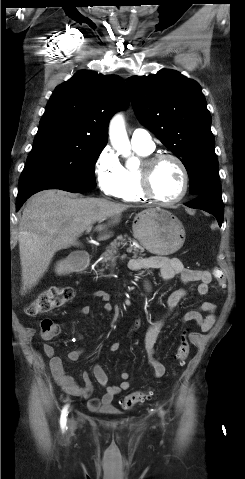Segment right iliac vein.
Masks as SVG:
<instances>
[{
	"mask_svg": "<svg viewBox=\"0 0 245 479\" xmlns=\"http://www.w3.org/2000/svg\"><path fill=\"white\" fill-rule=\"evenodd\" d=\"M69 427H70V429H74L75 424H74V421H73V420H70V421H69Z\"/></svg>",
	"mask_w": 245,
	"mask_h": 479,
	"instance_id": "1",
	"label": "right iliac vein"
}]
</instances>
